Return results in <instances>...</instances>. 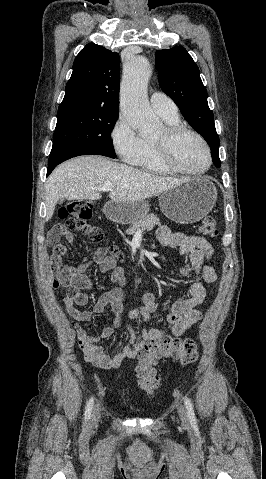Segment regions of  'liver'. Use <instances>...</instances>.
I'll return each mask as SVG.
<instances>
[{"label": "liver", "instance_id": "obj_1", "mask_svg": "<svg viewBox=\"0 0 266 479\" xmlns=\"http://www.w3.org/2000/svg\"><path fill=\"white\" fill-rule=\"evenodd\" d=\"M188 179L154 175L101 156L76 157L59 165L46 181V221L60 199L99 200L104 185L113 186L112 201H142Z\"/></svg>", "mask_w": 266, "mask_h": 479}]
</instances>
